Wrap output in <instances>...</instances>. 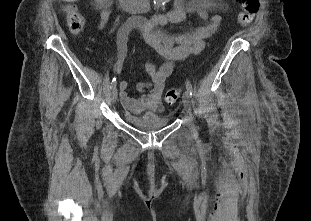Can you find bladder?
Returning <instances> with one entry per match:
<instances>
[{
	"label": "bladder",
	"instance_id": "bladder-1",
	"mask_svg": "<svg viewBox=\"0 0 311 221\" xmlns=\"http://www.w3.org/2000/svg\"><path fill=\"white\" fill-rule=\"evenodd\" d=\"M123 115L128 119L127 121L129 124L147 133H153L158 129L168 127L171 123L170 118H164L162 114L157 113L134 115L129 110H123Z\"/></svg>",
	"mask_w": 311,
	"mask_h": 221
}]
</instances>
